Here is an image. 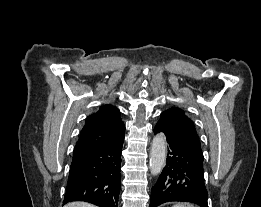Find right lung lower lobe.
I'll return each instance as SVG.
<instances>
[{"label":"right lung lower lobe","mask_w":261,"mask_h":207,"mask_svg":"<svg viewBox=\"0 0 261 207\" xmlns=\"http://www.w3.org/2000/svg\"><path fill=\"white\" fill-rule=\"evenodd\" d=\"M123 142L124 138L112 145L73 155L63 204L86 201L99 207L118 206Z\"/></svg>","instance_id":"right-lung-lower-lobe-1"}]
</instances>
